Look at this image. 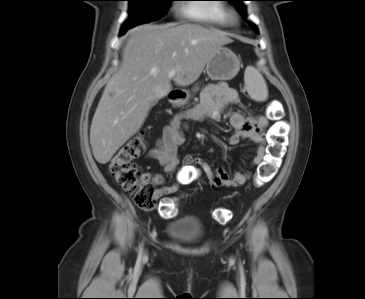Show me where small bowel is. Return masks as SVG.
I'll return each instance as SVG.
<instances>
[{
    "label": "small bowel",
    "mask_w": 365,
    "mask_h": 299,
    "mask_svg": "<svg viewBox=\"0 0 365 299\" xmlns=\"http://www.w3.org/2000/svg\"><path fill=\"white\" fill-rule=\"evenodd\" d=\"M240 98L235 89L225 84H208L201 93V101L193 109L174 116L164 127L156 148L150 151L149 157L157 160L165 172L173 173L179 166L181 159L178 148L185 141L184 132L188 128V122H198L206 118L218 120L221 113L229 104H238ZM229 121L234 132L229 137L231 145H238L242 140H249L257 145L252 164L257 166L266 155V128L269 120L264 115H247L240 112H231ZM183 166L177 177V182L161 186L156 190V197L162 198L166 195L175 194L179 186L190 183L199 175H203L210 186L218 187H239L245 184L251 173L237 171L230 176L225 170L217 168L213 170L202 159L186 156L182 160ZM143 178L154 184H162L163 178L158 174L145 173Z\"/></svg>",
    "instance_id": "obj_1"
}]
</instances>
